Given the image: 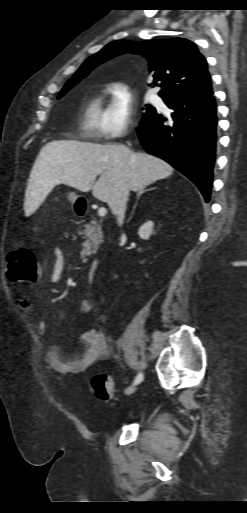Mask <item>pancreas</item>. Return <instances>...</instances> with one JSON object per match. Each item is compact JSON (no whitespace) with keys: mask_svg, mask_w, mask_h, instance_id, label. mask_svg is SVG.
Returning a JSON list of instances; mask_svg holds the SVG:
<instances>
[{"mask_svg":"<svg viewBox=\"0 0 247 513\" xmlns=\"http://www.w3.org/2000/svg\"><path fill=\"white\" fill-rule=\"evenodd\" d=\"M80 234H84L86 240L82 243L83 249L81 256L84 258L96 253L98 246L102 243L103 233L101 225L94 218L89 223L83 224L79 228Z\"/></svg>","mask_w":247,"mask_h":513,"instance_id":"pancreas-1","label":"pancreas"}]
</instances>
